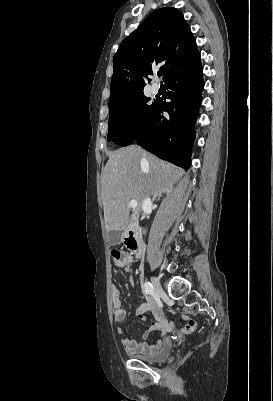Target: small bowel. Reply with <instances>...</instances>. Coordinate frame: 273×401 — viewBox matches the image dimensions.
Returning <instances> with one entry per match:
<instances>
[{
    "instance_id": "c3829d8e",
    "label": "small bowel",
    "mask_w": 273,
    "mask_h": 401,
    "mask_svg": "<svg viewBox=\"0 0 273 401\" xmlns=\"http://www.w3.org/2000/svg\"><path fill=\"white\" fill-rule=\"evenodd\" d=\"M111 256L114 260V266L118 269L124 270L126 273L132 271V265L135 262L134 257H132L128 252L121 249H113L111 251ZM129 283L133 286L135 284V279L133 277L129 278ZM111 302H112V313L116 323H122L126 319V311L122 306L121 302V292L120 289L113 285L111 288ZM151 312L153 315L152 320L148 328L143 332L141 341L134 338L124 336V331L118 329L119 334L123 335L121 340L122 346L130 354H152L159 350L162 345L165 344L166 339H159L154 344H148L145 340L149 337L152 332H170L172 330V324L168 323L164 317L162 307L153 302L142 303L137 309V318L141 321H148L147 313ZM172 311V308H169ZM184 327L182 328L183 334H188L189 337L193 336L195 332V324L197 320L187 316L183 317ZM173 331V330H172ZM177 335V334H174Z\"/></svg>"
}]
</instances>
